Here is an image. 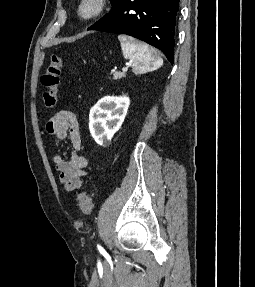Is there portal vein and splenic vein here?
I'll return each mask as SVG.
<instances>
[{
	"instance_id": "1",
	"label": "portal vein and splenic vein",
	"mask_w": 255,
	"mask_h": 287,
	"mask_svg": "<svg viewBox=\"0 0 255 287\" xmlns=\"http://www.w3.org/2000/svg\"><path fill=\"white\" fill-rule=\"evenodd\" d=\"M127 68H122V72H127L129 66H131V64H126Z\"/></svg>"
}]
</instances>
